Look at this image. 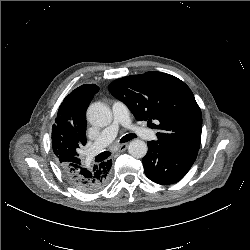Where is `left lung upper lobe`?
Instances as JSON below:
<instances>
[{
  "label": "left lung upper lobe",
  "instance_id": "obj_1",
  "mask_svg": "<svg viewBox=\"0 0 250 250\" xmlns=\"http://www.w3.org/2000/svg\"><path fill=\"white\" fill-rule=\"evenodd\" d=\"M108 89L126 103L137 120H145L158 129L159 143L199 150L202 114L193 93L183 81L166 73L151 71L117 79Z\"/></svg>",
  "mask_w": 250,
  "mask_h": 250
}]
</instances>
